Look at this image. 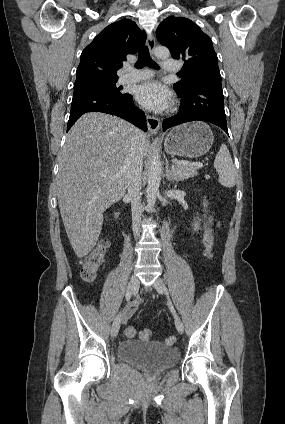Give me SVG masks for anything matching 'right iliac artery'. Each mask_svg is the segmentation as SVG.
Instances as JSON below:
<instances>
[{"instance_id":"1","label":"right iliac artery","mask_w":285,"mask_h":424,"mask_svg":"<svg viewBox=\"0 0 285 424\" xmlns=\"http://www.w3.org/2000/svg\"><path fill=\"white\" fill-rule=\"evenodd\" d=\"M130 298H131V292H130V290L128 289V290H127V292H126V301H129V300H130Z\"/></svg>"}]
</instances>
